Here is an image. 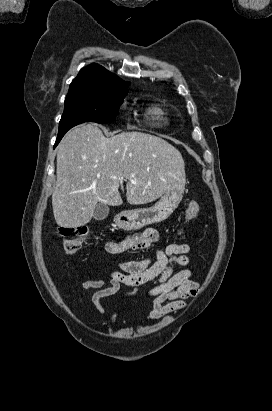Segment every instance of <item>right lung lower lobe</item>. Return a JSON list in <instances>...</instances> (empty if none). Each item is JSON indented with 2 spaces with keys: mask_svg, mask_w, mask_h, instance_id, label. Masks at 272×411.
Segmentation results:
<instances>
[{
  "mask_svg": "<svg viewBox=\"0 0 272 411\" xmlns=\"http://www.w3.org/2000/svg\"><path fill=\"white\" fill-rule=\"evenodd\" d=\"M62 137H63V136H59V137H57V140H56L55 146H56V145L60 142V140L62 139ZM55 146H54V147H55Z\"/></svg>",
  "mask_w": 272,
  "mask_h": 411,
  "instance_id": "98d812e1",
  "label": "right lung lower lobe"
}]
</instances>
